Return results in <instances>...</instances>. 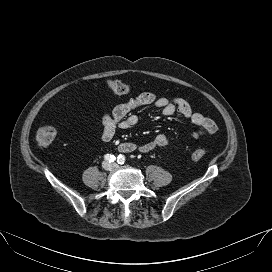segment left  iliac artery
I'll use <instances>...</instances> for the list:
<instances>
[{"label":"left iliac artery","mask_w":272,"mask_h":272,"mask_svg":"<svg viewBox=\"0 0 272 272\" xmlns=\"http://www.w3.org/2000/svg\"><path fill=\"white\" fill-rule=\"evenodd\" d=\"M117 162H118L119 164H124V162H125V156L120 154V155L118 156Z\"/></svg>","instance_id":"44dca946"}]
</instances>
